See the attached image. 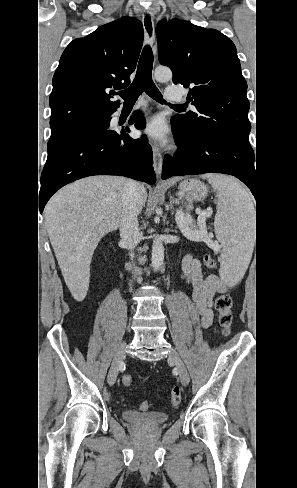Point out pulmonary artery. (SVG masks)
Segmentation results:
<instances>
[{
	"label": "pulmonary artery",
	"mask_w": 297,
	"mask_h": 488,
	"mask_svg": "<svg viewBox=\"0 0 297 488\" xmlns=\"http://www.w3.org/2000/svg\"><path fill=\"white\" fill-rule=\"evenodd\" d=\"M165 94H166V99L170 101H175V102L183 101L182 95L178 91L174 90L173 88H167Z\"/></svg>",
	"instance_id": "pulmonary-artery-1"
}]
</instances>
